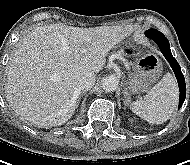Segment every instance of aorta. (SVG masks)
Returning <instances> with one entry per match:
<instances>
[{"instance_id":"aorta-1","label":"aorta","mask_w":190,"mask_h":165,"mask_svg":"<svg viewBox=\"0 0 190 165\" xmlns=\"http://www.w3.org/2000/svg\"><path fill=\"white\" fill-rule=\"evenodd\" d=\"M119 86V79L115 75L106 76L102 81V87L107 92H114Z\"/></svg>"}]
</instances>
